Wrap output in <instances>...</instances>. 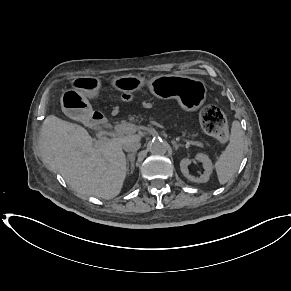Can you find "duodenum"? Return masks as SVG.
<instances>
[{
    "label": "duodenum",
    "instance_id": "1",
    "mask_svg": "<svg viewBox=\"0 0 291 291\" xmlns=\"http://www.w3.org/2000/svg\"><path fill=\"white\" fill-rule=\"evenodd\" d=\"M89 123L94 128H106L109 126V122L106 117L98 111H93L91 113Z\"/></svg>",
    "mask_w": 291,
    "mask_h": 291
}]
</instances>
